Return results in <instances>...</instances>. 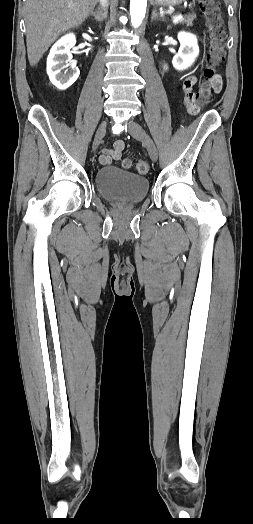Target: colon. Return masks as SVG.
Here are the masks:
<instances>
[{
    "mask_svg": "<svg viewBox=\"0 0 253 524\" xmlns=\"http://www.w3.org/2000/svg\"><path fill=\"white\" fill-rule=\"evenodd\" d=\"M198 3L205 16L209 35V50L203 71L205 81L197 91L198 103L204 104L209 102L213 96L210 81L215 77L216 70L225 56V28L218 13L217 0H198ZM130 165V160L123 162V166L126 168ZM135 168L138 173L144 174L148 171V164L143 160H139L136 162Z\"/></svg>",
    "mask_w": 253,
    "mask_h": 524,
    "instance_id": "obj_1",
    "label": "colon"
}]
</instances>
